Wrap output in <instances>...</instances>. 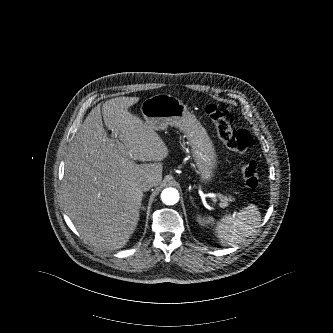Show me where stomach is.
I'll return each mask as SVG.
<instances>
[{"instance_id": "0dacf381", "label": "stomach", "mask_w": 333, "mask_h": 333, "mask_svg": "<svg viewBox=\"0 0 333 333\" xmlns=\"http://www.w3.org/2000/svg\"><path fill=\"white\" fill-rule=\"evenodd\" d=\"M140 111L156 129L171 125L183 133L200 182L210 185L218 168L219 157L206 130L189 107L171 94L158 93L145 98Z\"/></svg>"}]
</instances>
